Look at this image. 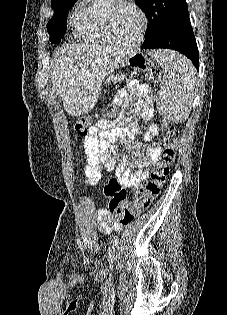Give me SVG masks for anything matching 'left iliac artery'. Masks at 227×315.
Segmentation results:
<instances>
[{
	"mask_svg": "<svg viewBox=\"0 0 227 315\" xmlns=\"http://www.w3.org/2000/svg\"><path fill=\"white\" fill-rule=\"evenodd\" d=\"M113 244L115 246H117L119 244V238L118 237H115L114 240H113Z\"/></svg>",
	"mask_w": 227,
	"mask_h": 315,
	"instance_id": "left-iliac-artery-1",
	"label": "left iliac artery"
}]
</instances>
